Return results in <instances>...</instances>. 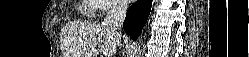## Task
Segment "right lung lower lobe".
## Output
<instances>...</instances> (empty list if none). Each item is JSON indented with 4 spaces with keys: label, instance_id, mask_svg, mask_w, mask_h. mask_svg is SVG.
Returning <instances> with one entry per match:
<instances>
[{
    "label": "right lung lower lobe",
    "instance_id": "right-lung-lower-lobe-1",
    "mask_svg": "<svg viewBox=\"0 0 249 57\" xmlns=\"http://www.w3.org/2000/svg\"><path fill=\"white\" fill-rule=\"evenodd\" d=\"M152 0H138L127 11L123 23L124 31L136 40L142 32L150 14Z\"/></svg>",
    "mask_w": 249,
    "mask_h": 57
}]
</instances>
